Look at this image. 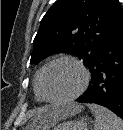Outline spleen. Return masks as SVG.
<instances>
[{"mask_svg":"<svg viewBox=\"0 0 123 130\" xmlns=\"http://www.w3.org/2000/svg\"><path fill=\"white\" fill-rule=\"evenodd\" d=\"M88 108L94 113V130H123V120L108 109L88 104Z\"/></svg>","mask_w":123,"mask_h":130,"instance_id":"1","label":"spleen"}]
</instances>
